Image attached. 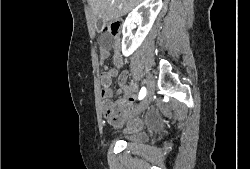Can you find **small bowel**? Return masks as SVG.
Returning <instances> with one entry per match:
<instances>
[{"label": "small bowel", "instance_id": "1", "mask_svg": "<svg viewBox=\"0 0 250 169\" xmlns=\"http://www.w3.org/2000/svg\"><path fill=\"white\" fill-rule=\"evenodd\" d=\"M115 51L113 55V60L116 66H122L124 63L123 56L120 50L114 46ZM110 46L101 47L99 61L103 64L110 56ZM117 75V71L114 68H106L101 75V85H102V109L104 115L109 119L112 124L118 123V121L125 117L130 110L131 105L136 100V84L131 81L128 82V72H122L118 77V84L123 91L122 97L117 102H112L111 98L113 96V91L111 89L112 79ZM141 127V123L138 119L133 118L129 120L127 125V131L135 132Z\"/></svg>", "mask_w": 250, "mask_h": 169}]
</instances>
